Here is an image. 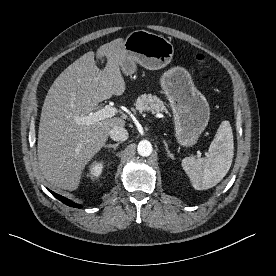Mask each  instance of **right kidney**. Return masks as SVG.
<instances>
[{
    "instance_id": "right-kidney-1",
    "label": "right kidney",
    "mask_w": 276,
    "mask_h": 276,
    "mask_svg": "<svg viewBox=\"0 0 276 276\" xmlns=\"http://www.w3.org/2000/svg\"><path fill=\"white\" fill-rule=\"evenodd\" d=\"M103 168H104L103 161L93 162L89 169V176L91 178H98L101 175Z\"/></svg>"
}]
</instances>
